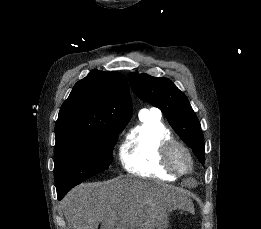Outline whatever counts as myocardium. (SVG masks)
Wrapping results in <instances>:
<instances>
[{
	"label": "myocardium",
	"mask_w": 261,
	"mask_h": 229,
	"mask_svg": "<svg viewBox=\"0 0 261 229\" xmlns=\"http://www.w3.org/2000/svg\"><path fill=\"white\" fill-rule=\"evenodd\" d=\"M181 150L187 158V166L183 169L178 168L174 162V155L176 151ZM163 163L165 167L176 176H182L189 173L193 167V158L189 147L183 142L171 140L164 144L163 148Z\"/></svg>",
	"instance_id": "1"
}]
</instances>
